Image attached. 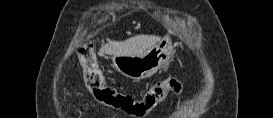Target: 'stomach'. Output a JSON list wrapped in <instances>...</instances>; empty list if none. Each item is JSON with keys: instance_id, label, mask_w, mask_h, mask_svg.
<instances>
[{"instance_id": "0dacf381", "label": "stomach", "mask_w": 273, "mask_h": 118, "mask_svg": "<svg viewBox=\"0 0 273 118\" xmlns=\"http://www.w3.org/2000/svg\"><path fill=\"white\" fill-rule=\"evenodd\" d=\"M172 58V42L170 38L165 37L140 55H114L112 62L116 69L127 78L141 80L167 66Z\"/></svg>"}]
</instances>
